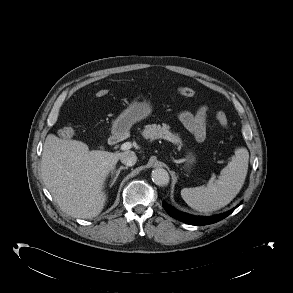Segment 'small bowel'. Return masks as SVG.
Here are the masks:
<instances>
[{
  "label": "small bowel",
  "mask_w": 293,
  "mask_h": 293,
  "mask_svg": "<svg viewBox=\"0 0 293 293\" xmlns=\"http://www.w3.org/2000/svg\"><path fill=\"white\" fill-rule=\"evenodd\" d=\"M208 109L203 106L195 113L183 111L179 114L182 124L194 134L197 141L202 142L206 136V117Z\"/></svg>",
  "instance_id": "c3829d8e"
}]
</instances>
